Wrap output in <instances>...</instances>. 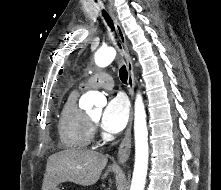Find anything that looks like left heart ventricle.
<instances>
[{
    "label": "left heart ventricle",
    "mask_w": 221,
    "mask_h": 190,
    "mask_svg": "<svg viewBox=\"0 0 221 190\" xmlns=\"http://www.w3.org/2000/svg\"><path fill=\"white\" fill-rule=\"evenodd\" d=\"M92 118L96 120L98 118V113L92 115Z\"/></svg>",
    "instance_id": "obj_1"
}]
</instances>
